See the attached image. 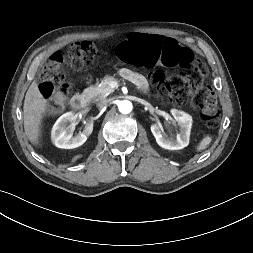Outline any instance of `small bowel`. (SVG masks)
Returning <instances> with one entry per match:
<instances>
[{
	"instance_id": "small-bowel-1",
	"label": "small bowel",
	"mask_w": 253,
	"mask_h": 253,
	"mask_svg": "<svg viewBox=\"0 0 253 253\" xmlns=\"http://www.w3.org/2000/svg\"><path fill=\"white\" fill-rule=\"evenodd\" d=\"M120 74L131 81H135L136 84L138 85V87L142 90L146 89V81L144 80V78H142L141 76H139L136 72H134L131 69L128 68H122L120 70Z\"/></svg>"
}]
</instances>
